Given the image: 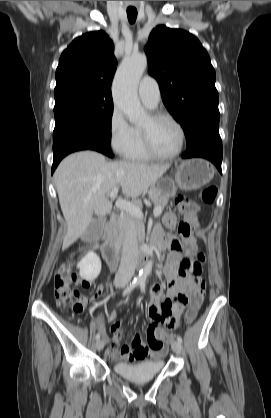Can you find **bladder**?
<instances>
[{
  "label": "bladder",
  "instance_id": "obj_1",
  "mask_svg": "<svg viewBox=\"0 0 271 418\" xmlns=\"http://www.w3.org/2000/svg\"><path fill=\"white\" fill-rule=\"evenodd\" d=\"M164 368L162 358L143 362L118 361L113 364L114 372L133 383H146L154 379Z\"/></svg>",
  "mask_w": 271,
  "mask_h": 418
}]
</instances>
